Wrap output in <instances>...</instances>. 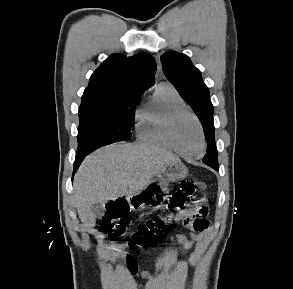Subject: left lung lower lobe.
I'll return each mask as SVG.
<instances>
[{"instance_id": "obj_1", "label": "left lung lower lobe", "mask_w": 293, "mask_h": 289, "mask_svg": "<svg viewBox=\"0 0 293 289\" xmlns=\"http://www.w3.org/2000/svg\"><path fill=\"white\" fill-rule=\"evenodd\" d=\"M211 144H209L207 147H210ZM213 169L218 171V167H213Z\"/></svg>"}]
</instances>
